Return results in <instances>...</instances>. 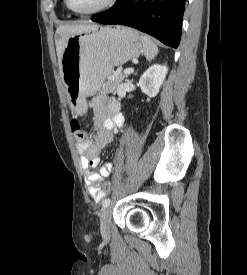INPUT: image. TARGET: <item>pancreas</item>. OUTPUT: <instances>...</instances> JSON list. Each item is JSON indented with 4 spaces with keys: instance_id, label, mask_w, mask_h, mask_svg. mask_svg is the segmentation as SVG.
Segmentation results:
<instances>
[{
    "instance_id": "pancreas-1",
    "label": "pancreas",
    "mask_w": 247,
    "mask_h": 275,
    "mask_svg": "<svg viewBox=\"0 0 247 275\" xmlns=\"http://www.w3.org/2000/svg\"><path fill=\"white\" fill-rule=\"evenodd\" d=\"M128 76V74H117L110 79L102 86L100 93H112L114 92L119 84Z\"/></svg>"
}]
</instances>
